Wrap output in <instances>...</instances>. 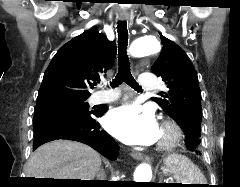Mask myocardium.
Instances as JSON below:
<instances>
[{"label":"myocardium","instance_id":"obj_1","mask_svg":"<svg viewBox=\"0 0 240 187\" xmlns=\"http://www.w3.org/2000/svg\"><path fill=\"white\" fill-rule=\"evenodd\" d=\"M182 138L183 131L178 122L172 118L164 119L157 148L163 151L171 150L181 142Z\"/></svg>","mask_w":240,"mask_h":187}]
</instances>
